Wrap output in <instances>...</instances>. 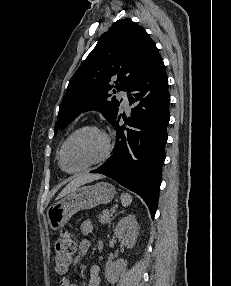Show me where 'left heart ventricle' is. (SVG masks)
Instances as JSON below:
<instances>
[{
  "label": "left heart ventricle",
  "mask_w": 231,
  "mask_h": 286,
  "mask_svg": "<svg viewBox=\"0 0 231 286\" xmlns=\"http://www.w3.org/2000/svg\"><path fill=\"white\" fill-rule=\"evenodd\" d=\"M105 149L103 137L94 131L75 135L66 145L62 164L66 170L81 168L99 158Z\"/></svg>",
  "instance_id": "b2bd125f"
}]
</instances>
